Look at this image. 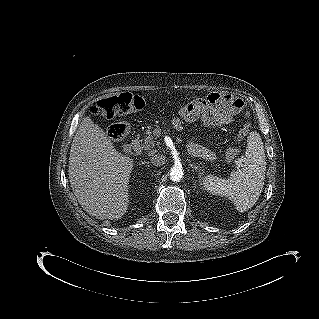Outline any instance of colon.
Segmentation results:
<instances>
[{
  "mask_svg": "<svg viewBox=\"0 0 319 319\" xmlns=\"http://www.w3.org/2000/svg\"><path fill=\"white\" fill-rule=\"evenodd\" d=\"M206 102L211 107L227 106L232 110H241L244 107V102L239 97L226 94L212 92L206 97ZM144 107V100L140 96L125 92L118 95H113L107 98H102L96 102L91 108L94 115L102 116L108 119L130 113L132 111L141 110ZM129 132V124L125 121L112 124L108 129V136L113 141L123 139ZM241 152V146L229 148L225 156L233 158Z\"/></svg>",
  "mask_w": 319,
  "mask_h": 319,
  "instance_id": "1",
  "label": "colon"
}]
</instances>
